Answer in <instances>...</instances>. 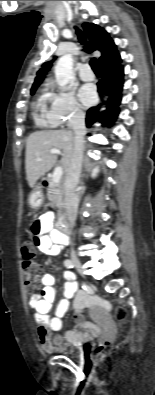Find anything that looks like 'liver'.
Returning <instances> with one entry per match:
<instances>
[{
    "mask_svg": "<svg viewBox=\"0 0 155 395\" xmlns=\"http://www.w3.org/2000/svg\"><path fill=\"white\" fill-rule=\"evenodd\" d=\"M75 135L69 130L37 131L26 142L25 168L29 186L50 171L57 161L51 149L62 150L61 165L66 172L74 150Z\"/></svg>",
    "mask_w": 155,
    "mask_h": 395,
    "instance_id": "liver-1",
    "label": "liver"
}]
</instances>
